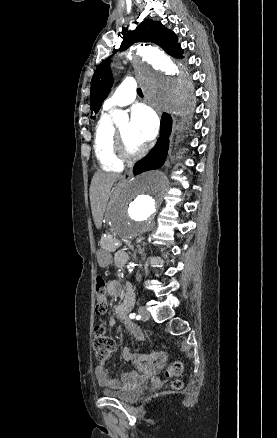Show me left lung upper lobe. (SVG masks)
<instances>
[{
	"mask_svg": "<svg viewBox=\"0 0 277 438\" xmlns=\"http://www.w3.org/2000/svg\"><path fill=\"white\" fill-rule=\"evenodd\" d=\"M123 42L120 51L126 50L136 42H152L159 45L166 53L182 58L183 50L176 43L177 37L174 32L166 29L161 22L146 19L141 22L133 31L123 33ZM111 60L102 61L91 80L90 107L91 111L97 113L103 100L108 96L112 83V74L109 67ZM91 118H94L91 116Z\"/></svg>",
	"mask_w": 277,
	"mask_h": 438,
	"instance_id": "5c2ea615",
	"label": "left lung upper lobe"
}]
</instances>
